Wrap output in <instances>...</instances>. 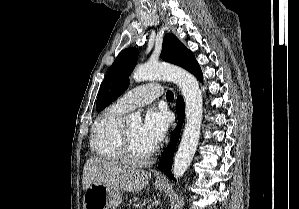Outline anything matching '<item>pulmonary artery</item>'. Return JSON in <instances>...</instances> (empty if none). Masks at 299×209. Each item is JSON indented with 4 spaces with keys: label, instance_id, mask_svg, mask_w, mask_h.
Here are the masks:
<instances>
[{
    "label": "pulmonary artery",
    "instance_id": "e3ab8cb5",
    "mask_svg": "<svg viewBox=\"0 0 299 209\" xmlns=\"http://www.w3.org/2000/svg\"><path fill=\"white\" fill-rule=\"evenodd\" d=\"M162 93L163 90L160 84L148 83L126 92L116 101V106L124 112H129L153 102Z\"/></svg>",
    "mask_w": 299,
    "mask_h": 209
}]
</instances>
